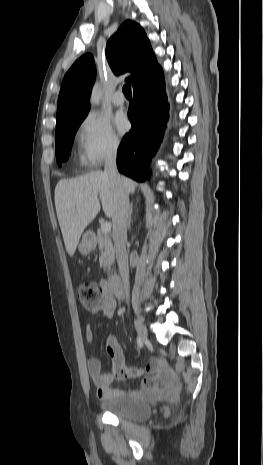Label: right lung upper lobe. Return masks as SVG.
<instances>
[{
  "instance_id": "right-lung-upper-lobe-1",
  "label": "right lung upper lobe",
  "mask_w": 263,
  "mask_h": 465,
  "mask_svg": "<svg viewBox=\"0 0 263 465\" xmlns=\"http://www.w3.org/2000/svg\"><path fill=\"white\" fill-rule=\"evenodd\" d=\"M106 58L115 74L132 72L126 81L131 80L133 87L160 69L146 33L131 20L125 21L109 39ZM95 74L91 54L81 56L68 70L58 97L57 123L76 111L90 108L87 101Z\"/></svg>"
}]
</instances>
